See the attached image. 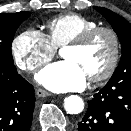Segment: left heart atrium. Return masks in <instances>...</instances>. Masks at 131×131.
Masks as SVG:
<instances>
[{"label":"left heart atrium","mask_w":131,"mask_h":131,"mask_svg":"<svg viewBox=\"0 0 131 131\" xmlns=\"http://www.w3.org/2000/svg\"><path fill=\"white\" fill-rule=\"evenodd\" d=\"M36 80L55 92L78 91L85 87L87 77L73 61L63 60L43 68Z\"/></svg>","instance_id":"39dd6f15"}]
</instances>
